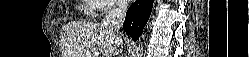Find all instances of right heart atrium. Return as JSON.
Returning a JSON list of instances; mask_svg holds the SVG:
<instances>
[{"mask_svg":"<svg viewBox=\"0 0 249 57\" xmlns=\"http://www.w3.org/2000/svg\"><path fill=\"white\" fill-rule=\"evenodd\" d=\"M95 10L101 15L109 14L120 9L121 3L117 0H94Z\"/></svg>","mask_w":249,"mask_h":57,"instance_id":"right-heart-atrium-1","label":"right heart atrium"}]
</instances>
